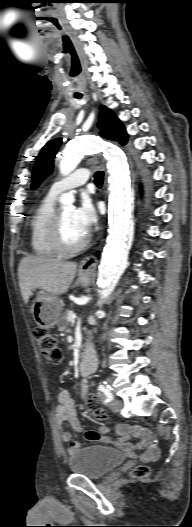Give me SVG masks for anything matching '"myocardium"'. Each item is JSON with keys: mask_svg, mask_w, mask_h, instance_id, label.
I'll use <instances>...</instances> for the list:
<instances>
[{"mask_svg": "<svg viewBox=\"0 0 192 527\" xmlns=\"http://www.w3.org/2000/svg\"><path fill=\"white\" fill-rule=\"evenodd\" d=\"M90 235L87 234L85 238L76 245L66 244L63 237L62 216L61 210L55 212L52 225V242L56 250L65 255L74 254L82 251L89 243Z\"/></svg>", "mask_w": 192, "mask_h": 527, "instance_id": "f54148a6", "label": "myocardium"}]
</instances>
